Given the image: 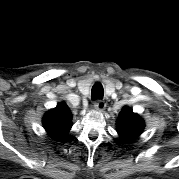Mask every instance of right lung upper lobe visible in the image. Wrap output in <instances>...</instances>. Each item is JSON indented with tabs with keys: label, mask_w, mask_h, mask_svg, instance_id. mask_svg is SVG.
Instances as JSON below:
<instances>
[{
	"label": "right lung upper lobe",
	"mask_w": 179,
	"mask_h": 179,
	"mask_svg": "<svg viewBox=\"0 0 179 179\" xmlns=\"http://www.w3.org/2000/svg\"><path fill=\"white\" fill-rule=\"evenodd\" d=\"M71 121V111L64 102L49 110L42 119L47 133L57 140H62L67 135L72 126Z\"/></svg>",
	"instance_id": "1"
}]
</instances>
